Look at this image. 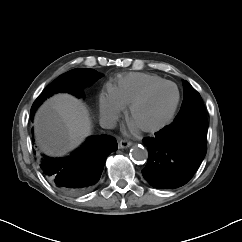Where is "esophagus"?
<instances>
[{"label": "esophagus", "instance_id": "obj_1", "mask_svg": "<svg viewBox=\"0 0 242 242\" xmlns=\"http://www.w3.org/2000/svg\"><path fill=\"white\" fill-rule=\"evenodd\" d=\"M118 145H119V148H127L132 145V142L126 139H122L119 141Z\"/></svg>", "mask_w": 242, "mask_h": 242}]
</instances>
